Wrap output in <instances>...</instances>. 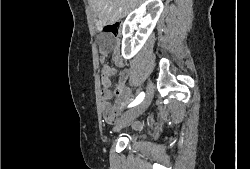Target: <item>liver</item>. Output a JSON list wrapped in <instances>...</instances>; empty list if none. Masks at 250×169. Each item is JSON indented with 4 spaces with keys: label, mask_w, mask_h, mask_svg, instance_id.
Here are the masks:
<instances>
[{
    "label": "liver",
    "mask_w": 250,
    "mask_h": 169,
    "mask_svg": "<svg viewBox=\"0 0 250 169\" xmlns=\"http://www.w3.org/2000/svg\"><path fill=\"white\" fill-rule=\"evenodd\" d=\"M141 2L144 0H89L94 14H97L99 18L97 24L100 26L117 22Z\"/></svg>",
    "instance_id": "liver-1"
}]
</instances>
